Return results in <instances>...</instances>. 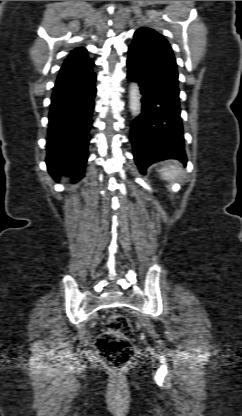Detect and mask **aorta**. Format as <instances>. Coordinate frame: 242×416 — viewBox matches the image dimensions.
I'll return each instance as SVG.
<instances>
[{"mask_svg": "<svg viewBox=\"0 0 242 416\" xmlns=\"http://www.w3.org/2000/svg\"><path fill=\"white\" fill-rule=\"evenodd\" d=\"M141 95L137 83L132 82L129 86V108L133 116H138L141 111Z\"/></svg>", "mask_w": 242, "mask_h": 416, "instance_id": "1", "label": "aorta"}]
</instances>
